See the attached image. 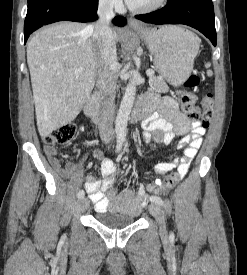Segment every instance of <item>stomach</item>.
Wrapping results in <instances>:
<instances>
[{"label": "stomach", "instance_id": "1", "mask_svg": "<svg viewBox=\"0 0 247 275\" xmlns=\"http://www.w3.org/2000/svg\"><path fill=\"white\" fill-rule=\"evenodd\" d=\"M136 31L146 42L156 70L168 83L182 84L193 68L199 49L198 37L178 26L146 27Z\"/></svg>", "mask_w": 247, "mask_h": 275}]
</instances>
